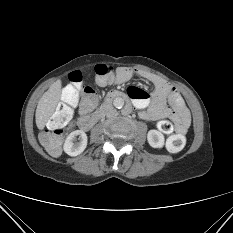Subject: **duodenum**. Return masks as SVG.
<instances>
[{
    "label": "duodenum",
    "instance_id": "duodenum-1",
    "mask_svg": "<svg viewBox=\"0 0 233 233\" xmlns=\"http://www.w3.org/2000/svg\"><path fill=\"white\" fill-rule=\"evenodd\" d=\"M117 99H128V96L121 92V91H112L110 92L103 105L101 106V108L99 110H97L95 113L91 114V115H85L82 116L79 121H78V126L82 129V130H89L90 128H92L97 122L98 120L102 117V115L104 114V112L106 111V109L108 108V106Z\"/></svg>",
    "mask_w": 233,
    "mask_h": 233
}]
</instances>
